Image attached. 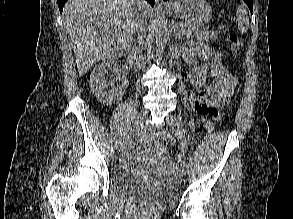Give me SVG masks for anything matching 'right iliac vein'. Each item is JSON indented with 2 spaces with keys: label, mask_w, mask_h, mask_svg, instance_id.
<instances>
[{
  "label": "right iliac vein",
  "mask_w": 293,
  "mask_h": 219,
  "mask_svg": "<svg viewBox=\"0 0 293 219\" xmlns=\"http://www.w3.org/2000/svg\"><path fill=\"white\" fill-rule=\"evenodd\" d=\"M148 117V111L147 110H143L136 118L135 122H134V125H133V128H132V131L133 132H136L140 129H142V127L144 126L145 122H146V119ZM129 138H125L121 141H119L118 143V146H117V150L118 152H121L123 151V149L125 148V146L127 145Z\"/></svg>",
  "instance_id": "1"
}]
</instances>
